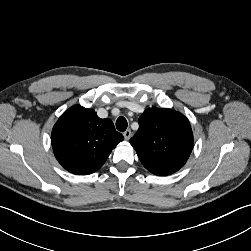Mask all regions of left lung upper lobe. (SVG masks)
Masks as SVG:
<instances>
[{"mask_svg": "<svg viewBox=\"0 0 251 251\" xmlns=\"http://www.w3.org/2000/svg\"><path fill=\"white\" fill-rule=\"evenodd\" d=\"M139 129L130 144L151 173L170 175L184 166L193 148L188 119L166 108H149L140 116Z\"/></svg>", "mask_w": 251, "mask_h": 251, "instance_id": "1", "label": "left lung upper lobe"}]
</instances>
